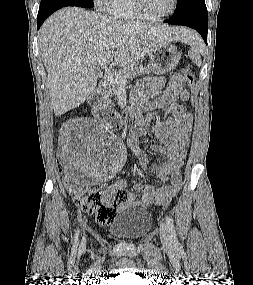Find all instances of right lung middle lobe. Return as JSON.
I'll list each match as a JSON object with an SVG mask.
<instances>
[{
  "label": "right lung middle lobe",
  "instance_id": "dd1d6c3e",
  "mask_svg": "<svg viewBox=\"0 0 253 285\" xmlns=\"http://www.w3.org/2000/svg\"><path fill=\"white\" fill-rule=\"evenodd\" d=\"M45 5H62L90 8L94 6V3L92 0H41L40 7Z\"/></svg>",
  "mask_w": 253,
  "mask_h": 285
}]
</instances>
